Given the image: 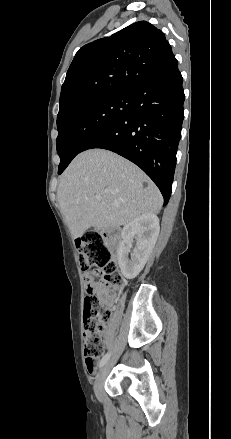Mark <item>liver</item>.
<instances>
[{"label":"liver","mask_w":231,"mask_h":439,"mask_svg":"<svg viewBox=\"0 0 231 439\" xmlns=\"http://www.w3.org/2000/svg\"><path fill=\"white\" fill-rule=\"evenodd\" d=\"M57 197L74 238L90 227L118 228L143 214H157L163 204L140 168L105 149L78 154L60 179Z\"/></svg>","instance_id":"1"}]
</instances>
